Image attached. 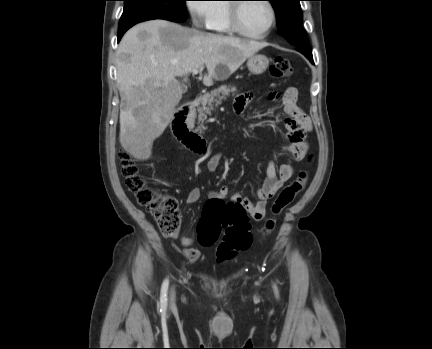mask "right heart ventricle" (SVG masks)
Wrapping results in <instances>:
<instances>
[{
  "instance_id": "1",
  "label": "right heart ventricle",
  "mask_w": 432,
  "mask_h": 349,
  "mask_svg": "<svg viewBox=\"0 0 432 349\" xmlns=\"http://www.w3.org/2000/svg\"><path fill=\"white\" fill-rule=\"evenodd\" d=\"M226 0H218L213 4V11L209 18L207 27L218 34H231L233 31L229 24V4Z\"/></svg>"
}]
</instances>
